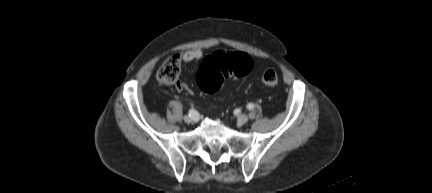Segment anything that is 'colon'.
<instances>
[{"mask_svg":"<svg viewBox=\"0 0 432 193\" xmlns=\"http://www.w3.org/2000/svg\"><path fill=\"white\" fill-rule=\"evenodd\" d=\"M252 67L253 62L245 53L218 51L202 62L197 74V83L205 92L214 93L224 77H242L248 74ZM179 74L180 60L177 55H173L162 63L157 77L162 83L174 84ZM278 81V75L274 70H267L262 75V82L268 87L276 86Z\"/></svg>","mask_w":432,"mask_h":193,"instance_id":"5ec220e1","label":"colon"}]
</instances>
